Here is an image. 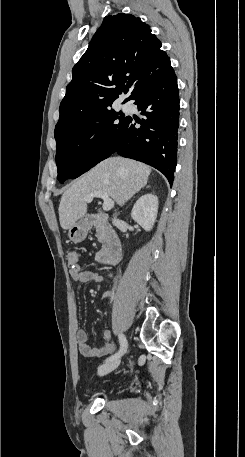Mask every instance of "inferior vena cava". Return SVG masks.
Instances as JSON below:
<instances>
[{
	"label": "inferior vena cava",
	"mask_w": 245,
	"mask_h": 457,
	"mask_svg": "<svg viewBox=\"0 0 245 457\" xmlns=\"http://www.w3.org/2000/svg\"><path fill=\"white\" fill-rule=\"evenodd\" d=\"M113 220V224H118V222H121V220H118V218H116V216H114V218H112Z\"/></svg>",
	"instance_id": "obj_1"
}]
</instances>
